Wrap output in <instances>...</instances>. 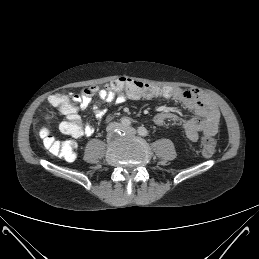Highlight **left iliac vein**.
<instances>
[{
  "label": "left iliac vein",
  "instance_id": "1",
  "mask_svg": "<svg viewBox=\"0 0 259 259\" xmlns=\"http://www.w3.org/2000/svg\"><path fill=\"white\" fill-rule=\"evenodd\" d=\"M123 130L130 135H135L137 131L133 127H123Z\"/></svg>",
  "mask_w": 259,
  "mask_h": 259
}]
</instances>
